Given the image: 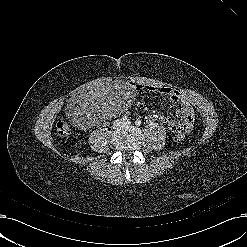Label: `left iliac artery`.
Instances as JSON below:
<instances>
[{
    "label": "left iliac artery",
    "mask_w": 247,
    "mask_h": 247,
    "mask_svg": "<svg viewBox=\"0 0 247 247\" xmlns=\"http://www.w3.org/2000/svg\"><path fill=\"white\" fill-rule=\"evenodd\" d=\"M135 124H136L137 126H140V125H141V121H140V120H137V121L135 122Z\"/></svg>",
    "instance_id": "left-iliac-artery-1"
}]
</instances>
